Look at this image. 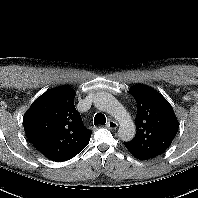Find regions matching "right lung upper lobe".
<instances>
[{
  "instance_id": "cb5924a9",
  "label": "right lung upper lobe",
  "mask_w": 198,
  "mask_h": 198,
  "mask_svg": "<svg viewBox=\"0 0 198 198\" xmlns=\"http://www.w3.org/2000/svg\"><path fill=\"white\" fill-rule=\"evenodd\" d=\"M74 98L69 86L48 90L24 115L27 138L46 157L81 149L90 141L92 132L85 128Z\"/></svg>"
}]
</instances>
